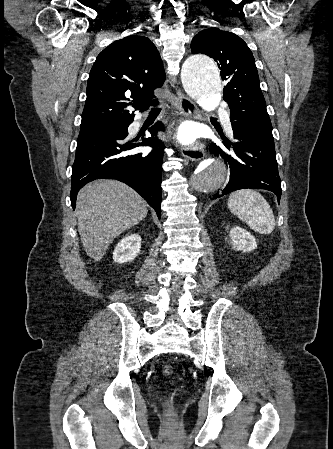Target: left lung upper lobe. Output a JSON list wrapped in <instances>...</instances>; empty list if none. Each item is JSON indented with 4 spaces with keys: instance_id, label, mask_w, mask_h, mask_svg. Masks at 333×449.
Segmentation results:
<instances>
[{
    "instance_id": "1",
    "label": "left lung upper lobe",
    "mask_w": 333,
    "mask_h": 449,
    "mask_svg": "<svg viewBox=\"0 0 333 449\" xmlns=\"http://www.w3.org/2000/svg\"><path fill=\"white\" fill-rule=\"evenodd\" d=\"M191 48L193 54L203 53L217 62L226 82L223 99L230 118L272 133L255 60L245 41L234 33L208 28L193 37Z\"/></svg>"
}]
</instances>
